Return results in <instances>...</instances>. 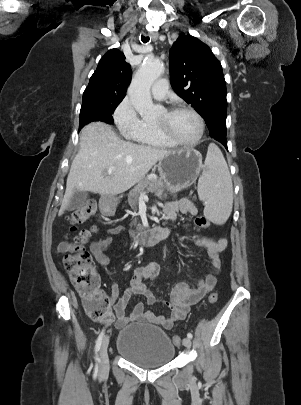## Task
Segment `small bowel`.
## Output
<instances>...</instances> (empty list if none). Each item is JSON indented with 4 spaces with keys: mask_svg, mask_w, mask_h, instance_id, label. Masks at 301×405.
I'll list each match as a JSON object with an SVG mask.
<instances>
[{
    "mask_svg": "<svg viewBox=\"0 0 301 405\" xmlns=\"http://www.w3.org/2000/svg\"><path fill=\"white\" fill-rule=\"evenodd\" d=\"M164 211L170 220L176 219L178 213L191 216H196L198 213L196 206L188 199L170 202L166 205ZM122 231L123 228L117 226L111 229L104 237L91 243L90 250L101 266L107 267L110 264V258L107 256L106 250L111 245L112 235L119 234ZM194 243L206 250L211 267L210 272L204 278L198 279L195 287L184 282H179L171 288L169 300L164 302L170 310V315L167 317L147 310L144 303L141 302L137 303L129 314L127 313V306L133 294L144 296L147 305H154L158 302L154 293L144 283L145 280L153 281L158 277L159 266L157 264L152 263L147 266L136 267L133 270L129 287L123 293L120 292L118 284L115 281L112 282L109 301L114 304L116 327L122 328L132 322H149L169 330L176 322L186 317L192 305L196 304L214 289L216 274L221 267L220 253L226 249L227 240L225 238L214 240L207 237H199L195 239ZM69 245L70 243L67 242L61 243L59 251H65Z\"/></svg>",
    "mask_w": 301,
    "mask_h": 405,
    "instance_id": "c3829d8e",
    "label": "small bowel"
}]
</instances>
